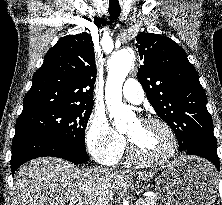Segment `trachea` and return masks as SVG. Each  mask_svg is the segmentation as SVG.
<instances>
[{
  "instance_id": "1",
  "label": "trachea",
  "mask_w": 222,
  "mask_h": 205,
  "mask_svg": "<svg viewBox=\"0 0 222 205\" xmlns=\"http://www.w3.org/2000/svg\"><path fill=\"white\" fill-rule=\"evenodd\" d=\"M120 13H121V8L119 6H114V7L109 6V14L112 17V19L116 20L120 16Z\"/></svg>"
}]
</instances>
